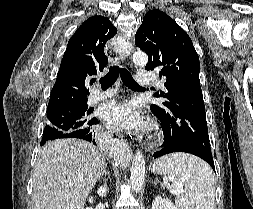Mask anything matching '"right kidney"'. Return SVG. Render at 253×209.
<instances>
[{"instance_id":"right-kidney-1","label":"right kidney","mask_w":253,"mask_h":209,"mask_svg":"<svg viewBox=\"0 0 253 209\" xmlns=\"http://www.w3.org/2000/svg\"><path fill=\"white\" fill-rule=\"evenodd\" d=\"M107 192H108V188H107V185L106 184H104L103 186H100L99 188H98V190H97V193L100 195V196H106V194H107ZM89 202L90 203H92L93 202V198L91 197V198H89Z\"/></svg>"}]
</instances>
